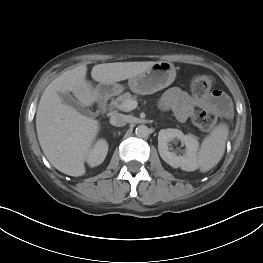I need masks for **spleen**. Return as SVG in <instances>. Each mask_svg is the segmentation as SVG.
I'll return each mask as SVG.
<instances>
[{"mask_svg": "<svg viewBox=\"0 0 263 263\" xmlns=\"http://www.w3.org/2000/svg\"><path fill=\"white\" fill-rule=\"evenodd\" d=\"M228 133L227 125L219 124L203 140L198 153V167L202 172H207L221 160Z\"/></svg>", "mask_w": 263, "mask_h": 263, "instance_id": "spleen-1", "label": "spleen"}]
</instances>
